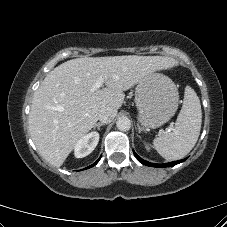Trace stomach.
<instances>
[{"label":"stomach","instance_id":"1","mask_svg":"<svg viewBox=\"0 0 227 227\" xmlns=\"http://www.w3.org/2000/svg\"><path fill=\"white\" fill-rule=\"evenodd\" d=\"M135 103L139 112L138 121L145 129H155L176 113L178 89L169 77L153 72L137 83Z\"/></svg>","mask_w":227,"mask_h":227}]
</instances>
